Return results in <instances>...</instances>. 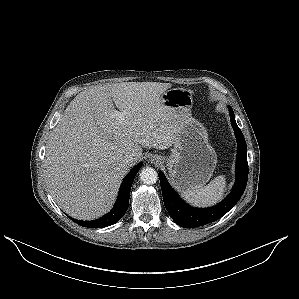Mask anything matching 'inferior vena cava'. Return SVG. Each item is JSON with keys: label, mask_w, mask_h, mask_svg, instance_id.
<instances>
[{"label": "inferior vena cava", "mask_w": 299, "mask_h": 299, "mask_svg": "<svg viewBox=\"0 0 299 299\" xmlns=\"http://www.w3.org/2000/svg\"><path fill=\"white\" fill-rule=\"evenodd\" d=\"M134 159L135 158H134L133 154L129 153V154L125 155V157L123 159V163L125 165H130L134 162Z\"/></svg>", "instance_id": "obj_1"}]
</instances>
